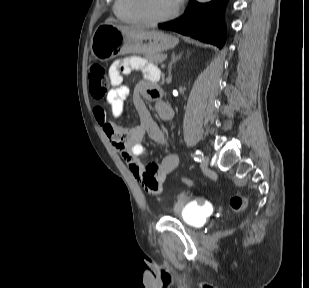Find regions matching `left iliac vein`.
Returning a JSON list of instances; mask_svg holds the SVG:
<instances>
[{
  "mask_svg": "<svg viewBox=\"0 0 309 288\" xmlns=\"http://www.w3.org/2000/svg\"><path fill=\"white\" fill-rule=\"evenodd\" d=\"M208 164H209V157L208 156H204L202 158V161H201V169L202 170H207L208 169Z\"/></svg>",
  "mask_w": 309,
  "mask_h": 288,
  "instance_id": "left-iliac-vein-1",
  "label": "left iliac vein"
}]
</instances>
